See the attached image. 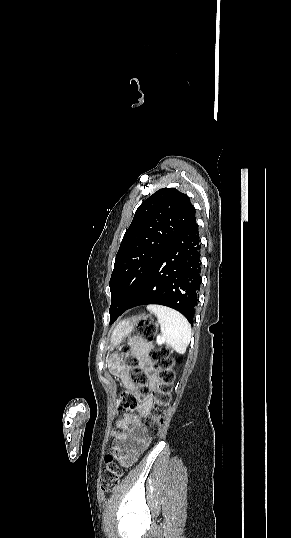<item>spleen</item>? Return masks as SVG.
<instances>
[{"mask_svg": "<svg viewBox=\"0 0 291 538\" xmlns=\"http://www.w3.org/2000/svg\"><path fill=\"white\" fill-rule=\"evenodd\" d=\"M161 326L163 340L175 351L184 352L191 339V326L188 320L176 310L160 305H149Z\"/></svg>", "mask_w": 291, "mask_h": 538, "instance_id": "obj_1", "label": "spleen"}]
</instances>
